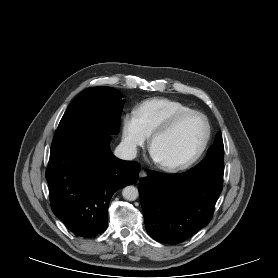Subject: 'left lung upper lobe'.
<instances>
[{
    "label": "left lung upper lobe",
    "mask_w": 278,
    "mask_h": 278,
    "mask_svg": "<svg viewBox=\"0 0 278 278\" xmlns=\"http://www.w3.org/2000/svg\"><path fill=\"white\" fill-rule=\"evenodd\" d=\"M223 140L221 131L217 133L213 146L208 149L206 157L189 172L205 173L223 177L224 174V157H223Z\"/></svg>",
    "instance_id": "left-lung-upper-lobe-1"
}]
</instances>
